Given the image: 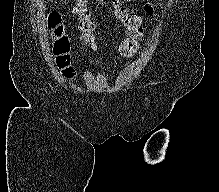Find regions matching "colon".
I'll return each mask as SVG.
<instances>
[{"instance_id":"5ec220e1","label":"colon","mask_w":219,"mask_h":192,"mask_svg":"<svg viewBox=\"0 0 219 192\" xmlns=\"http://www.w3.org/2000/svg\"><path fill=\"white\" fill-rule=\"evenodd\" d=\"M85 4L86 0H77ZM48 29L52 39V50L55 56L56 65L65 78H72L75 70L71 62V39L67 27L62 17L55 12H51L47 18ZM83 26L88 31L94 27L93 21L84 18ZM137 49V39L135 37L126 38L120 45L119 51L122 55L132 57Z\"/></svg>"}]
</instances>
